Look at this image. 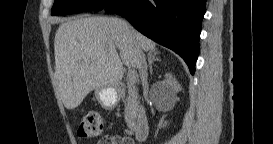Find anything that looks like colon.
<instances>
[{
  "label": "colon",
  "mask_w": 273,
  "mask_h": 144,
  "mask_svg": "<svg viewBox=\"0 0 273 144\" xmlns=\"http://www.w3.org/2000/svg\"><path fill=\"white\" fill-rule=\"evenodd\" d=\"M104 126L101 116L94 111L86 112L80 120L78 135L82 138H97L103 134Z\"/></svg>",
  "instance_id": "colon-1"
}]
</instances>
